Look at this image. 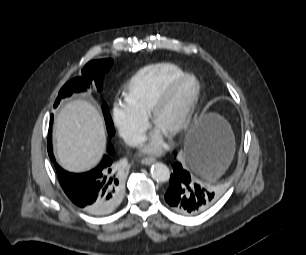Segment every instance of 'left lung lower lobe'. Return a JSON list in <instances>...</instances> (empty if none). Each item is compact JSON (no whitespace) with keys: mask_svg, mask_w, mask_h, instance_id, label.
Returning a JSON list of instances; mask_svg holds the SVG:
<instances>
[{"mask_svg":"<svg viewBox=\"0 0 306 255\" xmlns=\"http://www.w3.org/2000/svg\"><path fill=\"white\" fill-rule=\"evenodd\" d=\"M223 143L202 144L193 142L184 151L186 166L176 161L165 194L168 205L182 215H196L207 209L215 200V194L191 179L190 169L212 171L223 158Z\"/></svg>","mask_w":306,"mask_h":255,"instance_id":"1","label":"left lung lower lobe"}]
</instances>
